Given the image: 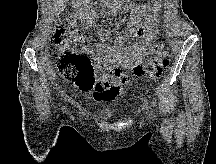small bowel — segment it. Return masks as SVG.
<instances>
[{"label": "small bowel", "mask_w": 216, "mask_h": 164, "mask_svg": "<svg viewBox=\"0 0 216 164\" xmlns=\"http://www.w3.org/2000/svg\"><path fill=\"white\" fill-rule=\"evenodd\" d=\"M161 7V0H154L135 8L127 21L131 37L135 41L126 45L124 38L117 36L114 44L110 45L106 39L111 35L104 30H95L97 44L90 47L84 35H78L79 43L84 45L90 55L96 60L102 56L108 69L103 73L100 84L94 89L92 98L95 101L111 102L120 98L129 83V77L123 70H135L143 64L151 65L158 58L154 57L160 51L157 42V14ZM73 20V19H72Z\"/></svg>", "instance_id": "c3829d8e"}]
</instances>
